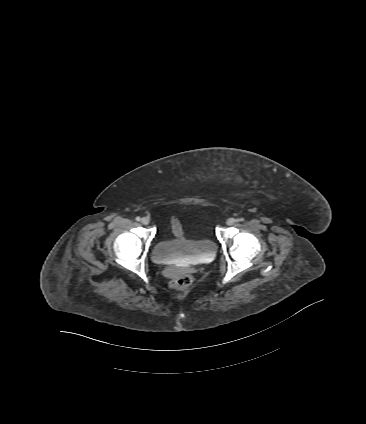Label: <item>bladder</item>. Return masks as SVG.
Returning a JSON list of instances; mask_svg holds the SVG:
<instances>
[{
  "mask_svg": "<svg viewBox=\"0 0 366 424\" xmlns=\"http://www.w3.org/2000/svg\"><path fill=\"white\" fill-rule=\"evenodd\" d=\"M216 252V244L209 239H160L152 248V259L160 264L179 260L200 262L214 258Z\"/></svg>",
  "mask_w": 366,
  "mask_h": 424,
  "instance_id": "1",
  "label": "bladder"
}]
</instances>
